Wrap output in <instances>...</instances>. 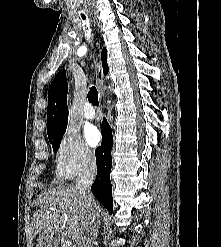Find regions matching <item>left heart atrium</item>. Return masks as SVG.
<instances>
[{
    "label": "left heart atrium",
    "mask_w": 221,
    "mask_h": 247,
    "mask_svg": "<svg viewBox=\"0 0 221 247\" xmlns=\"http://www.w3.org/2000/svg\"><path fill=\"white\" fill-rule=\"evenodd\" d=\"M85 137L89 144L97 145L101 139L100 132L94 126H88L85 130Z\"/></svg>",
    "instance_id": "39dd6f15"
}]
</instances>
